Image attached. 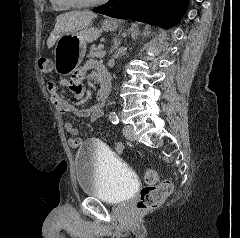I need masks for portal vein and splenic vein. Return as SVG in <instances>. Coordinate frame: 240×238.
<instances>
[{
	"instance_id": "portal-vein-and-splenic-vein-1",
	"label": "portal vein and splenic vein",
	"mask_w": 240,
	"mask_h": 238,
	"mask_svg": "<svg viewBox=\"0 0 240 238\" xmlns=\"http://www.w3.org/2000/svg\"><path fill=\"white\" fill-rule=\"evenodd\" d=\"M100 51H101L100 57H104L106 52L102 50V46L100 47Z\"/></svg>"
}]
</instances>
